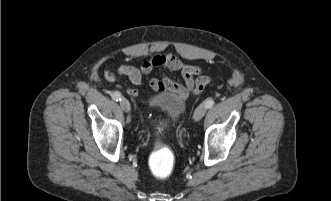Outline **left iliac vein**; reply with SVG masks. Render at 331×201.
I'll return each instance as SVG.
<instances>
[{
    "label": "left iliac vein",
    "instance_id": "1",
    "mask_svg": "<svg viewBox=\"0 0 331 201\" xmlns=\"http://www.w3.org/2000/svg\"><path fill=\"white\" fill-rule=\"evenodd\" d=\"M207 109H206V106L201 104L199 105L195 112H194V115H193V119L194 121H199L200 119H202V117L205 115Z\"/></svg>",
    "mask_w": 331,
    "mask_h": 201
}]
</instances>
